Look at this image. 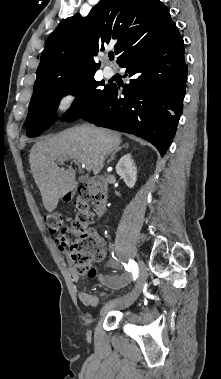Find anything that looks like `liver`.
<instances>
[{
  "label": "liver",
  "mask_w": 221,
  "mask_h": 379,
  "mask_svg": "<svg viewBox=\"0 0 221 379\" xmlns=\"http://www.w3.org/2000/svg\"><path fill=\"white\" fill-rule=\"evenodd\" d=\"M121 134L92 126L67 129L33 145L29 162L45 209L52 212L60 198L74 188L76 170L58 167L56 161L92 163L93 174L101 172L105 157L119 146Z\"/></svg>",
  "instance_id": "6515ba94"
}]
</instances>
